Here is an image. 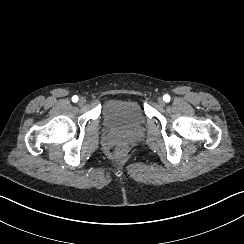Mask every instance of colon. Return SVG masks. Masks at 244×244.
Masks as SVG:
<instances>
[{"label": "colon", "mask_w": 244, "mask_h": 244, "mask_svg": "<svg viewBox=\"0 0 244 244\" xmlns=\"http://www.w3.org/2000/svg\"><path fill=\"white\" fill-rule=\"evenodd\" d=\"M115 150H116V155L119 158H125L128 155L127 147L123 143L117 144L116 147H115Z\"/></svg>", "instance_id": "1"}]
</instances>
